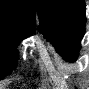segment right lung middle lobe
<instances>
[{
    "mask_svg": "<svg viewBox=\"0 0 89 89\" xmlns=\"http://www.w3.org/2000/svg\"><path fill=\"white\" fill-rule=\"evenodd\" d=\"M34 30L6 20L0 21V74H7L16 65L17 45Z\"/></svg>",
    "mask_w": 89,
    "mask_h": 89,
    "instance_id": "obj_1",
    "label": "right lung middle lobe"
}]
</instances>
